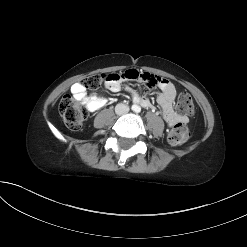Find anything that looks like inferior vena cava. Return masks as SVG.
Segmentation results:
<instances>
[{"mask_svg": "<svg viewBox=\"0 0 247 247\" xmlns=\"http://www.w3.org/2000/svg\"><path fill=\"white\" fill-rule=\"evenodd\" d=\"M129 111V107L125 104L119 103L115 107V112L118 115L126 114Z\"/></svg>", "mask_w": 247, "mask_h": 247, "instance_id": "inferior-vena-cava-1", "label": "inferior vena cava"}]
</instances>
